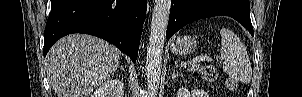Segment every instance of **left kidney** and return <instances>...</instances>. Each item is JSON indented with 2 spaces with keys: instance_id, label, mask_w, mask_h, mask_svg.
Segmentation results:
<instances>
[{
  "instance_id": "5707ae66",
  "label": "left kidney",
  "mask_w": 302,
  "mask_h": 97,
  "mask_svg": "<svg viewBox=\"0 0 302 97\" xmlns=\"http://www.w3.org/2000/svg\"><path fill=\"white\" fill-rule=\"evenodd\" d=\"M177 97H209V95L202 89H192L189 91L187 88L182 87L177 91Z\"/></svg>"
}]
</instances>
